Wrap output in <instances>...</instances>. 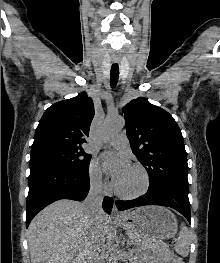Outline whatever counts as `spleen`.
I'll list each match as a JSON object with an SVG mask.
<instances>
[{
  "instance_id": "1",
  "label": "spleen",
  "mask_w": 220,
  "mask_h": 263,
  "mask_svg": "<svg viewBox=\"0 0 220 263\" xmlns=\"http://www.w3.org/2000/svg\"><path fill=\"white\" fill-rule=\"evenodd\" d=\"M190 248V232L188 228L182 224L179 232L178 240L175 244V251L182 255L187 256Z\"/></svg>"
}]
</instances>
